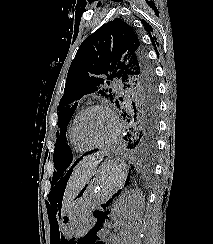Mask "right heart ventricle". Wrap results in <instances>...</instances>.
<instances>
[{
  "label": "right heart ventricle",
  "instance_id": "right-heart-ventricle-1",
  "mask_svg": "<svg viewBox=\"0 0 213 244\" xmlns=\"http://www.w3.org/2000/svg\"><path fill=\"white\" fill-rule=\"evenodd\" d=\"M81 111H77L76 114L74 115V117L72 118L71 122L69 123L68 126V139H69V143L71 148L78 153H83L86 152L88 150L87 147H85L83 144H81L74 132V127H75V122L79 116Z\"/></svg>",
  "mask_w": 213,
  "mask_h": 244
}]
</instances>
